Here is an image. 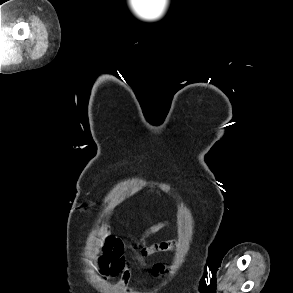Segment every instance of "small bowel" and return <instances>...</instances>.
<instances>
[{"instance_id":"obj_1","label":"small bowel","mask_w":293,"mask_h":293,"mask_svg":"<svg viewBox=\"0 0 293 293\" xmlns=\"http://www.w3.org/2000/svg\"><path fill=\"white\" fill-rule=\"evenodd\" d=\"M170 223V221H163L147 229L139 236L131 239L132 246L143 264H145L143 260L144 255L168 252L177 247V244L174 241H161L150 246L146 245V239L149 236L157 233ZM95 264L97 270L102 275H120L121 286H125L129 283L131 272L125 261L124 248L120 239L115 238L114 236H105L102 240L101 247L98 250ZM151 274L154 278L160 279L167 274V268L162 263H156L151 267Z\"/></svg>"}]
</instances>
